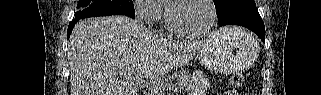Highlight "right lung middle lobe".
I'll return each instance as SVG.
<instances>
[{
    "label": "right lung middle lobe",
    "mask_w": 321,
    "mask_h": 95,
    "mask_svg": "<svg viewBox=\"0 0 321 95\" xmlns=\"http://www.w3.org/2000/svg\"><path fill=\"white\" fill-rule=\"evenodd\" d=\"M75 19L96 16L126 15L135 18L132 0H79Z\"/></svg>",
    "instance_id": "right-lung-middle-lobe-1"
}]
</instances>
